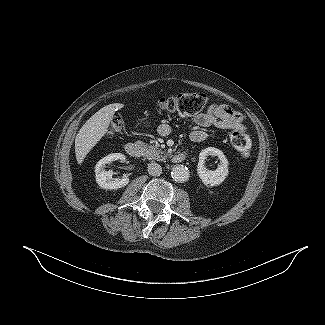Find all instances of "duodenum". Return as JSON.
Returning <instances> with one entry per match:
<instances>
[{
	"instance_id": "1",
	"label": "duodenum",
	"mask_w": 325,
	"mask_h": 325,
	"mask_svg": "<svg viewBox=\"0 0 325 325\" xmlns=\"http://www.w3.org/2000/svg\"><path fill=\"white\" fill-rule=\"evenodd\" d=\"M125 150L127 154L131 157H139L142 153V148L139 143L136 142H129L125 146ZM188 156L187 151L179 152L172 156V161L175 163H181L183 162Z\"/></svg>"
}]
</instances>
